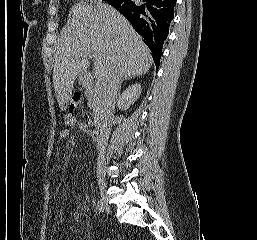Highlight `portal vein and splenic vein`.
Wrapping results in <instances>:
<instances>
[{
  "label": "portal vein and splenic vein",
  "mask_w": 257,
  "mask_h": 240,
  "mask_svg": "<svg viewBox=\"0 0 257 240\" xmlns=\"http://www.w3.org/2000/svg\"><path fill=\"white\" fill-rule=\"evenodd\" d=\"M86 57H92L91 55H87ZM101 88H102V84H98V86H97V88H96V90H101Z\"/></svg>",
  "instance_id": "portal-vein-and-splenic-vein-1"
}]
</instances>
